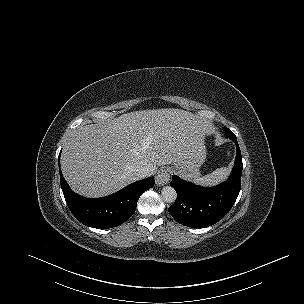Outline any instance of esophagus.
<instances>
[{
  "label": "esophagus",
  "instance_id": "obj_1",
  "mask_svg": "<svg viewBox=\"0 0 304 304\" xmlns=\"http://www.w3.org/2000/svg\"><path fill=\"white\" fill-rule=\"evenodd\" d=\"M170 180V172L168 169H161L158 171L155 177V183L157 186H163L167 184Z\"/></svg>",
  "mask_w": 304,
  "mask_h": 304
}]
</instances>
